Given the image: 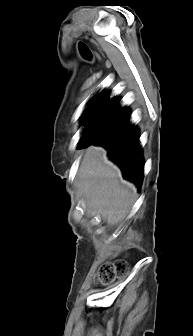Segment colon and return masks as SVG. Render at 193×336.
Instances as JSON below:
<instances>
[{
  "mask_svg": "<svg viewBox=\"0 0 193 336\" xmlns=\"http://www.w3.org/2000/svg\"><path fill=\"white\" fill-rule=\"evenodd\" d=\"M129 264L125 259H117L113 262H107L99 269L95 281L100 285H108L118 278L127 274Z\"/></svg>",
  "mask_w": 193,
  "mask_h": 336,
  "instance_id": "1",
  "label": "colon"
}]
</instances>
